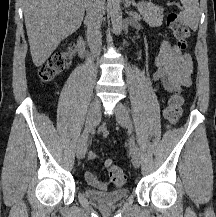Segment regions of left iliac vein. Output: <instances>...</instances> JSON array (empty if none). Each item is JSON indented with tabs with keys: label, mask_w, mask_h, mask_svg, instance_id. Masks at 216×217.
Instances as JSON below:
<instances>
[{
	"label": "left iliac vein",
	"mask_w": 216,
	"mask_h": 217,
	"mask_svg": "<svg viewBox=\"0 0 216 217\" xmlns=\"http://www.w3.org/2000/svg\"><path fill=\"white\" fill-rule=\"evenodd\" d=\"M115 116H116L117 122L122 127L130 128L131 120L129 116V111L123 103L119 102L116 105ZM131 158H132L133 166L135 168H138L140 166L141 158H140V151L137 146H135L134 149L131 151Z\"/></svg>",
	"instance_id": "left-iliac-vein-1"
}]
</instances>
